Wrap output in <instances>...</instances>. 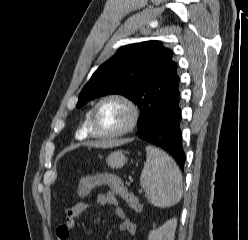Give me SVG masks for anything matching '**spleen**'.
Returning <instances> with one entry per match:
<instances>
[{"label":"spleen","instance_id":"3e777b00","mask_svg":"<svg viewBox=\"0 0 248 240\" xmlns=\"http://www.w3.org/2000/svg\"><path fill=\"white\" fill-rule=\"evenodd\" d=\"M147 160L140 177V184L149 202L160 208L177 204L183 195L181 172L173 159L164 151L146 147Z\"/></svg>","mask_w":248,"mask_h":240}]
</instances>
